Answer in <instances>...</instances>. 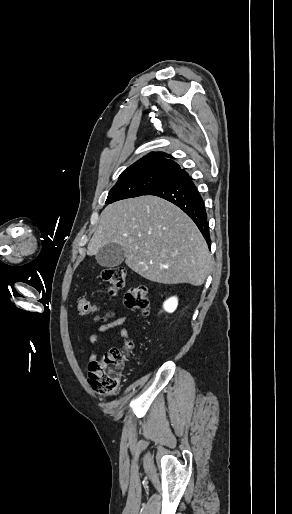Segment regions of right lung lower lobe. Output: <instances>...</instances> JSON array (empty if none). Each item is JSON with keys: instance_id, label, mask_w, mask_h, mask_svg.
I'll list each match as a JSON object with an SVG mask.
<instances>
[{"instance_id": "98d812e1", "label": "right lung lower lobe", "mask_w": 292, "mask_h": 514, "mask_svg": "<svg viewBox=\"0 0 292 514\" xmlns=\"http://www.w3.org/2000/svg\"><path fill=\"white\" fill-rule=\"evenodd\" d=\"M144 195L158 196L177 205L194 221L206 239L209 248L211 247L204 201L185 170L170 175L149 189Z\"/></svg>"}]
</instances>
